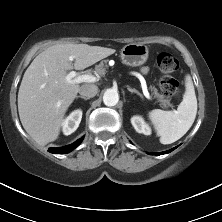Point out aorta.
Here are the masks:
<instances>
[{
	"mask_svg": "<svg viewBox=\"0 0 222 222\" xmlns=\"http://www.w3.org/2000/svg\"><path fill=\"white\" fill-rule=\"evenodd\" d=\"M119 101L118 92L114 89H107L103 95V102L106 106H115Z\"/></svg>",
	"mask_w": 222,
	"mask_h": 222,
	"instance_id": "762f6f07",
	"label": "aorta"
}]
</instances>
